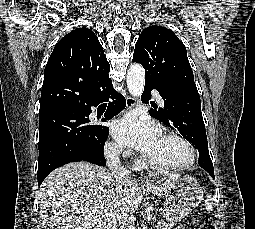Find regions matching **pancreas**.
<instances>
[{"label":"pancreas","instance_id":"1","mask_svg":"<svg viewBox=\"0 0 255 229\" xmlns=\"http://www.w3.org/2000/svg\"><path fill=\"white\" fill-rule=\"evenodd\" d=\"M157 229H172V225L168 223H163L161 226H158Z\"/></svg>","mask_w":255,"mask_h":229}]
</instances>
